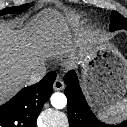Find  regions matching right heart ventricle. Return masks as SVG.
Wrapping results in <instances>:
<instances>
[{
    "mask_svg": "<svg viewBox=\"0 0 127 127\" xmlns=\"http://www.w3.org/2000/svg\"><path fill=\"white\" fill-rule=\"evenodd\" d=\"M53 38H54V36H53V35H50V36L48 37V39H49L50 41H52V40H53Z\"/></svg>",
    "mask_w": 127,
    "mask_h": 127,
    "instance_id": "1",
    "label": "right heart ventricle"
}]
</instances>
